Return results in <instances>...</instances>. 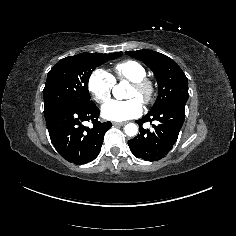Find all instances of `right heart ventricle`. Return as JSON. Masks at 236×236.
<instances>
[{"mask_svg":"<svg viewBox=\"0 0 236 236\" xmlns=\"http://www.w3.org/2000/svg\"><path fill=\"white\" fill-rule=\"evenodd\" d=\"M115 77L114 82H130L132 80L145 77L146 70L144 66L132 59L124 60L114 66Z\"/></svg>","mask_w":236,"mask_h":236,"instance_id":"e07e8e85","label":"right heart ventricle"}]
</instances>
